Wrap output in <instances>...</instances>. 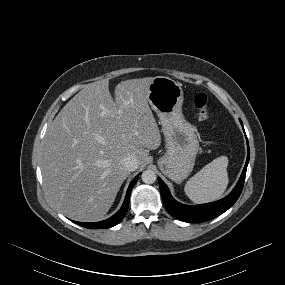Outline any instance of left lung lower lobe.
Masks as SVG:
<instances>
[{
  "mask_svg": "<svg viewBox=\"0 0 285 285\" xmlns=\"http://www.w3.org/2000/svg\"><path fill=\"white\" fill-rule=\"evenodd\" d=\"M240 122L242 124V121ZM247 146V160L239 181L237 182L233 191L219 201L196 206L181 204L173 199L166 184L160 178H158L163 203L170 214L180 221L199 223L215 218L227 211L236 202L243 189L250 156L248 141Z\"/></svg>",
  "mask_w": 285,
  "mask_h": 285,
  "instance_id": "obj_1",
  "label": "left lung lower lobe"
}]
</instances>
